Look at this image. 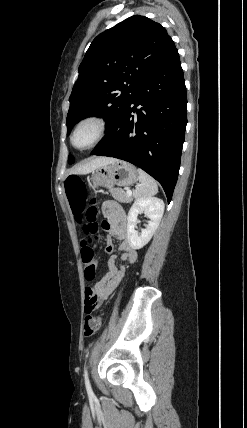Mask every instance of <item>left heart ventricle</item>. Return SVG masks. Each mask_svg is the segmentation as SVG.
<instances>
[{"mask_svg":"<svg viewBox=\"0 0 247 428\" xmlns=\"http://www.w3.org/2000/svg\"><path fill=\"white\" fill-rule=\"evenodd\" d=\"M96 127L92 124L83 126L75 136V143L77 146H86L95 137Z\"/></svg>","mask_w":247,"mask_h":428,"instance_id":"1","label":"left heart ventricle"}]
</instances>
